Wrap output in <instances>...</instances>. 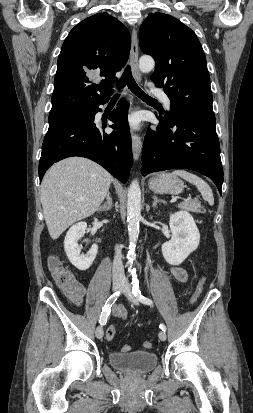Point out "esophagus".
I'll return each instance as SVG.
<instances>
[{"mask_svg":"<svg viewBox=\"0 0 253 413\" xmlns=\"http://www.w3.org/2000/svg\"><path fill=\"white\" fill-rule=\"evenodd\" d=\"M131 67L134 77L140 81V72L138 69V36L137 31L135 28L132 29L131 32ZM132 140V152L134 156V160L137 161L140 157L141 150H142V141L141 137L138 133L133 132L131 135Z\"/></svg>","mask_w":253,"mask_h":413,"instance_id":"34e87169","label":"esophagus"}]
</instances>
